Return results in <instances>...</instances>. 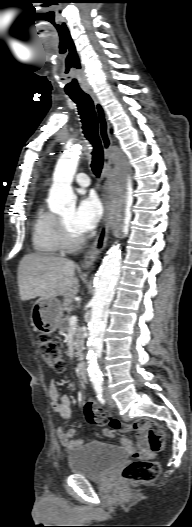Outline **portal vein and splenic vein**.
<instances>
[{"instance_id": "portal-vein-and-splenic-vein-1", "label": "portal vein and splenic vein", "mask_w": 192, "mask_h": 527, "mask_svg": "<svg viewBox=\"0 0 192 527\" xmlns=\"http://www.w3.org/2000/svg\"><path fill=\"white\" fill-rule=\"evenodd\" d=\"M77 322H78L77 316L73 315L72 317H70V319H69V325L70 326H76Z\"/></svg>"}]
</instances>
